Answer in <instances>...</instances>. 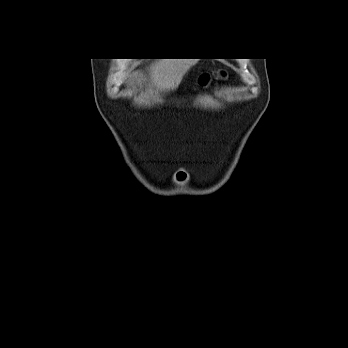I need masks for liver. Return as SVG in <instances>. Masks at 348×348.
Instances as JSON below:
<instances>
[{
    "label": "liver",
    "instance_id": "obj_1",
    "mask_svg": "<svg viewBox=\"0 0 348 348\" xmlns=\"http://www.w3.org/2000/svg\"><path fill=\"white\" fill-rule=\"evenodd\" d=\"M195 63L196 59H159L150 65L147 86L160 92L173 91Z\"/></svg>",
    "mask_w": 348,
    "mask_h": 348
}]
</instances>
